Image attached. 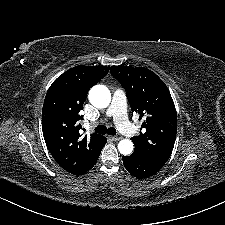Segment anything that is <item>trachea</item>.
<instances>
[{
  "instance_id": "1",
  "label": "trachea",
  "mask_w": 225,
  "mask_h": 225,
  "mask_svg": "<svg viewBox=\"0 0 225 225\" xmlns=\"http://www.w3.org/2000/svg\"><path fill=\"white\" fill-rule=\"evenodd\" d=\"M95 132L98 134L116 135V130L113 127L107 128L104 125H98L95 128Z\"/></svg>"
}]
</instances>
